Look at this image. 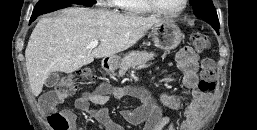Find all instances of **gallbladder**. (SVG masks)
<instances>
[{"label":"gallbladder","mask_w":257,"mask_h":130,"mask_svg":"<svg viewBox=\"0 0 257 130\" xmlns=\"http://www.w3.org/2000/svg\"><path fill=\"white\" fill-rule=\"evenodd\" d=\"M59 79H60L59 74L56 72H53L46 79L45 86L48 88L54 87L58 83Z\"/></svg>","instance_id":"bac80fb5"}]
</instances>
